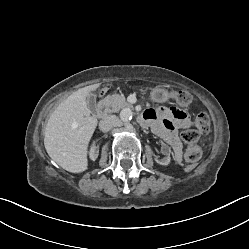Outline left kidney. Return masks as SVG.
I'll return each instance as SVG.
<instances>
[{"mask_svg": "<svg viewBox=\"0 0 249 249\" xmlns=\"http://www.w3.org/2000/svg\"><path fill=\"white\" fill-rule=\"evenodd\" d=\"M171 150L166 145L159 147V152L152 155V161L161 165H168L170 163Z\"/></svg>", "mask_w": 249, "mask_h": 249, "instance_id": "1", "label": "left kidney"}]
</instances>
